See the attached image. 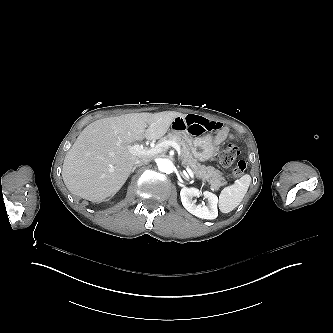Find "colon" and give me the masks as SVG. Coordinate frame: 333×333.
Returning <instances> with one entry per match:
<instances>
[{
    "label": "colon",
    "instance_id": "1",
    "mask_svg": "<svg viewBox=\"0 0 333 333\" xmlns=\"http://www.w3.org/2000/svg\"><path fill=\"white\" fill-rule=\"evenodd\" d=\"M239 154L240 147L238 144L231 143L220 152L218 156V162L223 168L227 169L228 172L235 175H241L246 169V162L240 160L235 163V160Z\"/></svg>",
    "mask_w": 333,
    "mask_h": 333
}]
</instances>
